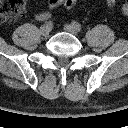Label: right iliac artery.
Here are the masks:
<instances>
[{"instance_id":"right-iliac-artery-1","label":"right iliac artery","mask_w":128,"mask_h":128,"mask_svg":"<svg viewBox=\"0 0 128 128\" xmlns=\"http://www.w3.org/2000/svg\"><path fill=\"white\" fill-rule=\"evenodd\" d=\"M45 25L51 29V27L53 26V23L52 21H48L45 23Z\"/></svg>"}]
</instances>
